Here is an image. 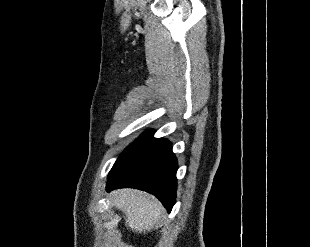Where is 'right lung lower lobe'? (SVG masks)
Listing matches in <instances>:
<instances>
[{
    "instance_id": "obj_1",
    "label": "right lung lower lobe",
    "mask_w": 310,
    "mask_h": 247,
    "mask_svg": "<svg viewBox=\"0 0 310 247\" xmlns=\"http://www.w3.org/2000/svg\"><path fill=\"white\" fill-rule=\"evenodd\" d=\"M153 131L143 133L128 146L112 167L107 191L131 187L155 195L168 212L176 198L178 168L171 143L154 138Z\"/></svg>"
}]
</instances>
